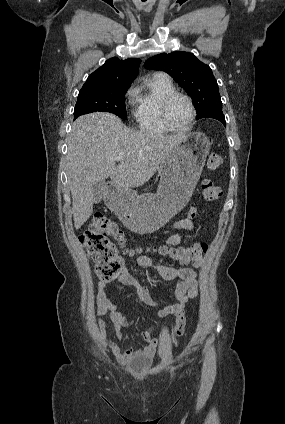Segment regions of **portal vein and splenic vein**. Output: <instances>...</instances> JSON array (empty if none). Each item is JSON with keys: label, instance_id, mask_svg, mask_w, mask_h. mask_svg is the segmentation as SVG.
Masks as SVG:
<instances>
[{"label": "portal vein and splenic vein", "instance_id": "obj_1", "mask_svg": "<svg viewBox=\"0 0 285 424\" xmlns=\"http://www.w3.org/2000/svg\"><path fill=\"white\" fill-rule=\"evenodd\" d=\"M115 160H116V161H122V160H124V154H123V153L118 154V155L115 157Z\"/></svg>", "mask_w": 285, "mask_h": 424}]
</instances>
